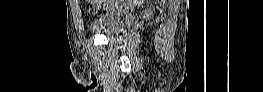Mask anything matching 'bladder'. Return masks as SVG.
Masks as SVG:
<instances>
[{
  "mask_svg": "<svg viewBox=\"0 0 263 92\" xmlns=\"http://www.w3.org/2000/svg\"><path fill=\"white\" fill-rule=\"evenodd\" d=\"M133 21V13L114 8L104 10L92 19L88 24V29L91 32L111 37L131 27Z\"/></svg>",
  "mask_w": 263,
  "mask_h": 92,
  "instance_id": "31cf9c89",
  "label": "bladder"
}]
</instances>
